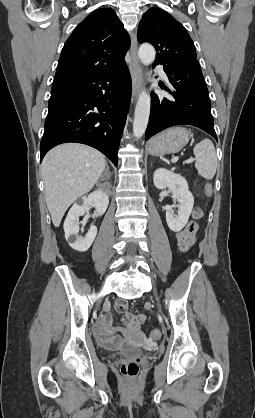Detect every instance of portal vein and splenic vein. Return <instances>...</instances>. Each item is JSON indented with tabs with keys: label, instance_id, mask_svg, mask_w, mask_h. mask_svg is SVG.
<instances>
[{
	"label": "portal vein and splenic vein",
	"instance_id": "1",
	"mask_svg": "<svg viewBox=\"0 0 255 418\" xmlns=\"http://www.w3.org/2000/svg\"><path fill=\"white\" fill-rule=\"evenodd\" d=\"M196 159H194V158H190V159H188V160H186V163H192V162H194ZM178 161V157H174L173 159H172V162L173 163H175V162H177Z\"/></svg>",
	"mask_w": 255,
	"mask_h": 418
}]
</instances>
